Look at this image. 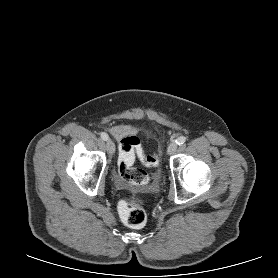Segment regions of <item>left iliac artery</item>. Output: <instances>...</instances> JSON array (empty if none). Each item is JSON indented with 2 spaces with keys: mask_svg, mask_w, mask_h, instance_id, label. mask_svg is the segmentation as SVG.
<instances>
[{
  "mask_svg": "<svg viewBox=\"0 0 278 278\" xmlns=\"http://www.w3.org/2000/svg\"><path fill=\"white\" fill-rule=\"evenodd\" d=\"M186 142V138L184 136H180L177 140H176V143L178 145H182Z\"/></svg>",
  "mask_w": 278,
  "mask_h": 278,
  "instance_id": "44dca946",
  "label": "left iliac artery"
}]
</instances>
